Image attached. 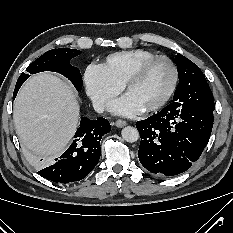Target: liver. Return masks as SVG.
<instances>
[{
	"label": "liver",
	"mask_w": 233,
	"mask_h": 233,
	"mask_svg": "<svg viewBox=\"0 0 233 233\" xmlns=\"http://www.w3.org/2000/svg\"><path fill=\"white\" fill-rule=\"evenodd\" d=\"M79 112L77 94L69 82L44 72L20 89L13 119L22 144L40 158L64 151L78 126Z\"/></svg>",
	"instance_id": "obj_1"
}]
</instances>
